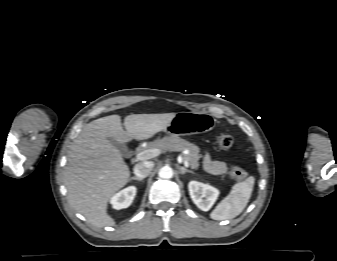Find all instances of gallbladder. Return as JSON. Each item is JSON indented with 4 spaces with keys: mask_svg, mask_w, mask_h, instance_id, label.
Wrapping results in <instances>:
<instances>
[{
    "mask_svg": "<svg viewBox=\"0 0 337 261\" xmlns=\"http://www.w3.org/2000/svg\"><path fill=\"white\" fill-rule=\"evenodd\" d=\"M108 140L120 151L122 156L127 157L129 155V150L125 144L118 143L112 138H108Z\"/></svg>",
    "mask_w": 337,
    "mask_h": 261,
    "instance_id": "gallbladder-1",
    "label": "gallbladder"
}]
</instances>
